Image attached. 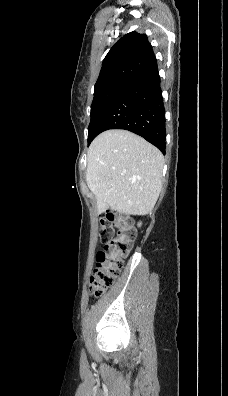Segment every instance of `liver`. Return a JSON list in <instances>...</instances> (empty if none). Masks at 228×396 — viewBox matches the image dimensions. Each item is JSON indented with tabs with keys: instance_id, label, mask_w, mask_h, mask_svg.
<instances>
[{
	"instance_id": "1",
	"label": "liver",
	"mask_w": 228,
	"mask_h": 396,
	"mask_svg": "<svg viewBox=\"0 0 228 396\" xmlns=\"http://www.w3.org/2000/svg\"><path fill=\"white\" fill-rule=\"evenodd\" d=\"M86 181L97 201L98 213L108 208L146 215L161 188L164 158L142 137L126 130L98 135L87 152Z\"/></svg>"
}]
</instances>
